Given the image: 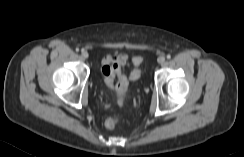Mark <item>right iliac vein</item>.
Returning a JSON list of instances; mask_svg holds the SVG:
<instances>
[{
    "label": "right iliac vein",
    "mask_w": 244,
    "mask_h": 157,
    "mask_svg": "<svg viewBox=\"0 0 244 157\" xmlns=\"http://www.w3.org/2000/svg\"><path fill=\"white\" fill-rule=\"evenodd\" d=\"M81 56H82L83 59H87L89 54H88L87 51H82Z\"/></svg>",
    "instance_id": "63e3f726"
}]
</instances>
